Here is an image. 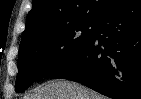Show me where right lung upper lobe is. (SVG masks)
I'll list each match as a JSON object with an SVG mask.
<instances>
[{
	"label": "right lung upper lobe",
	"mask_w": 141,
	"mask_h": 99,
	"mask_svg": "<svg viewBox=\"0 0 141 99\" xmlns=\"http://www.w3.org/2000/svg\"><path fill=\"white\" fill-rule=\"evenodd\" d=\"M119 0H33L20 44L79 22L97 21Z\"/></svg>",
	"instance_id": "1"
}]
</instances>
